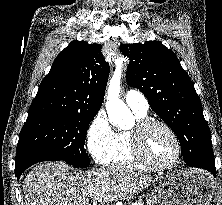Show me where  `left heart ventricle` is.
<instances>
[{
    "label": "left heart ventricle",
    "instance_id": "1",
    "mask_svg": "<svg viewBox=\"0 0 222 205\" xmlns=\"http://www.w3.org/2000/svg\"><path fill=\"white\" fill-rule=\"evenodd\" d=\"M144 147L148 156L159 164H168L175 157V144L171 136L161 127L149 129L144 137Z\"/></svg>",
    "mask_w": 222,
    "mask_h": 205
}]
</instances>
